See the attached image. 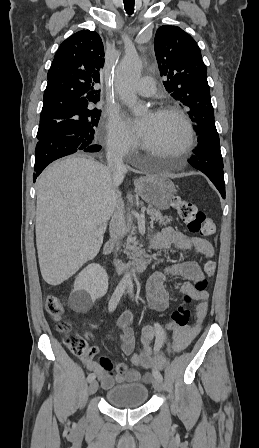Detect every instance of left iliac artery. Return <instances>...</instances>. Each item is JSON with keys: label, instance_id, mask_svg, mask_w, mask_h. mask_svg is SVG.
<instances>
[{"label": "left iliac artery", "instance_id": "44dca946", "mask_svg": "<svg viewBox=\"0 0 259 448\" xmlns=\"http://www.w3.org/2000/svg\"><path fill=\"white\" fill-rule=\"evenodd\" d=\"M128 292L130 293L131 297H133V285L129 284L128 285ZM155 327V332H156V339H155V344H154V352L158 353L159 350L162 348L164 341H165V333L164 330L162 328V326L158 323L154 324ZM154 377L155 379H159V380H163V377L161 375V373L159 371H155L154 372Z\"/></svg>", "mask_w": 259, "mask_h": 448}]
</instances>
